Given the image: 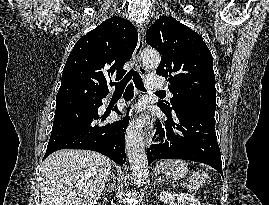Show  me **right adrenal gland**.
I'll list each match as a JSON object with an SVG mask.
<instances>
[{
	"label": "right adrenal gland",
	"mask_w": 269,
	"mask_h": 205,
	"mask_svg": "<svg viewBox=\"0 0 269 205\" xmlns=\"http://www.w3.org/2000/svg\"><path fill=\"white\" fill-rule=\"evenodd\" d=\"M114 185H115V176H114V174H112L110 185L108 187H106L104 189V191H106L107 193L111 192L114 189Z\"/></svg>",
	"instance_id": "2a0ac1e0"
}]
</instances>
